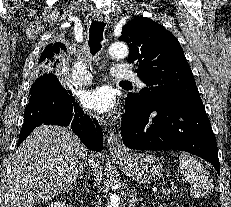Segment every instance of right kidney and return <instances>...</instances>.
<instances>
[{
    "instance_id": "1",
    "label": "right kidney",
    "mask_w": 231,
    "mask_h": 207,
    "mask_svg": "<svg viewBox=\"0 0 231 207\" xmlns=\"http://www.w3.org/2000/svg\"><path fill=\"white\" fill-rule=\"evenodd\" d=\"M49 207H66V203L62 201H55L49 204Z\"/></svg>"
}]
</instances>
